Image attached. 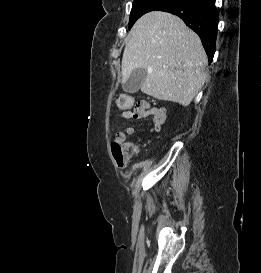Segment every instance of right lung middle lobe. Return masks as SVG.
<instances>
[{
	"label": "right lung middle lobe",
	"instance_id": "right-lung-middle-lobe-1",
	"mask_svg": "<svg viewBox=\"0 0 261 273\" xmlns=\"http://www.w3.org/2000/svg\"><path fill=\"white\" fill-rule=\"evenodd\" d=\"M166 0H134L129 20V29L133 24L147 12L161 10Z\"/></svg>",
	"mask_w": 261,
	"mask_h": 273
}]
</instances>
